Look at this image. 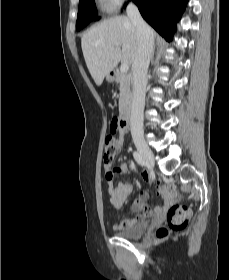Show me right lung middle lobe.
<instances>
[{
  "instance_id": "right-lung-middle-lobe-1",
  "label": "right lung middle lobe",
  "mask_w": 229,
  "mask_h": 280,
  "mask_svg": "<svg viewBox=\"0 0 229 280\" xmlns=\"http://www.w3.org/2000/svg\"><path fill=\"white\" fill-rule=\"evenodd\" d=\"M97 9L94 0H80L78 8V16L76 22V30H81L91 21L99 19L97 17Z\"/></svg>"
}]
</instances>
